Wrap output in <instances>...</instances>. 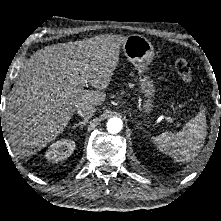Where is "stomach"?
Masks as SVG:
<instances>
[{"mask_svg": "<svg viewBox=\"0 0 221 221\" xmlns=\"http://www.w3.org/2000/svg\"><path fill=\"white\" fill-rule=\"evenodd\" d=\"M124 55L127 59L139 70H144L151 64L154 58V47L151 42L142 35H129L122 45ZM140 92L144 95V103L142 110L145 114H150L155 105L153 96L156 92V87L149 77H143L139 80Z\"/></svg>", "mask_w": 221, "mask_h": 221, "instance_id": "1", "label": "stomach"}]
</instances>
